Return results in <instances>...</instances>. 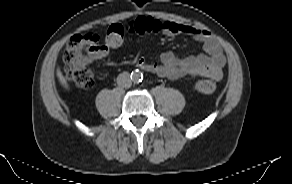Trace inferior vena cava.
I'll return each instance as SVG.
<instances>
[{
  "instance_id": "1",
  "label": "inferior vena cava",
  "mask_w": 292,
  "mask_h": 184,
  "mask_svg": "<svg viewBox=\"0 0 292 184\" xmlns=\"http://www.w3.org/2000/svg\"><path fill=\"white\" fill-rule=\"evenodd\" d=\"M117 84L123 88H129L132 85V80L128 72H123L117 77Z\"/></svg>"
}]
</instances>
